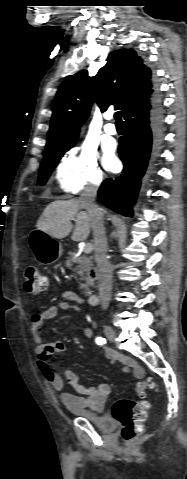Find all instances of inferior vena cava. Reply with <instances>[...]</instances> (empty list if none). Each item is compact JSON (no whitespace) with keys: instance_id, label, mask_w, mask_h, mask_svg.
<instances>
[{"instance_id":"602c4592","label":"inferior vena cava","mask_w":187,"mask_h":479,"mask_svg":"<svg viewBox=\"0 0 187 479\" xmlns=\"http://www.w3.org/2000/svg\"><path fill=\"white\" fill-rule=\"evenodd\" d=\"M99 183H92L85 187L80 196V202L91 218V227L94 237L95 261L98 267L100 284L101 306L106 310L109 306L112 291V267L107 259V238L104 227L103 209L95 203Z\"/></svg>"}]
</instances>
